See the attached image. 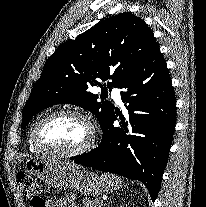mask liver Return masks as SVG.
I'll use <instances>...</instances> for the list:
<instances>
[{
  "mask_svg": "<svg viewBox=\"0 0 206 207\" xmlns=\"http://www.w3.org/2000/svg\"><path fill=\"white\" fill-rule=\"evenodd\" d=\"M66 164H71V165H75V164H72V163H70V162H65Z\"/></svg>",
  "mask_w": 206,
  "mask_h": 207,
  "instance_id": "1",
  "label": "liver"
}]
</instances>
